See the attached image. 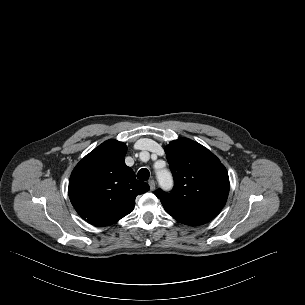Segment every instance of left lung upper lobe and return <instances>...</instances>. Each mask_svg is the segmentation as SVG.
<instances>
[{
	"label": "left lung upper lobe",
	"instance_id": "left-lung-upper-lobe-1",
	"mask_svg": "<svg viewBox=\"0 0 305 305\" xmlns=\"http://www.w3.org/2000/svg\"><path fill=\"white\" fill-rule=\"evenodd\" d=\"M173 177L170 193L158 189L166 212L176 220L208 222L224 207L229 193L228 172L220 160L201 144L187 138L165 147Z\"/></svg>",
	"mask_w": 305,
	"mask_h": 305
}]
</instances>
